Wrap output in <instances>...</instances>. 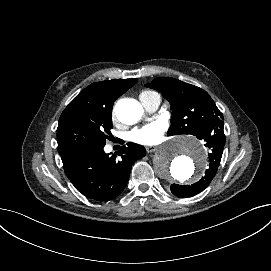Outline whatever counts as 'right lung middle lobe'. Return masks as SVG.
<instances>
[{
  "mask_svg": "<svg viewBox=\"0 0 271 271\" xmlns=\"http://www.w3.org/2000/svg\"><path fill=\"white\" fill-rule=\"evenodd\" d=\"M118 98L107 91L76 96L62 112L57 128L61 156L85 147L104 146L111 140L112 107Z\"/></svg>",
  "mask_w": 271,
  "mask_h": 271,
  "instance_id": "1",
  "label": "right lung middle lobe"
}]
</instances>
